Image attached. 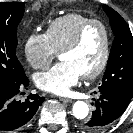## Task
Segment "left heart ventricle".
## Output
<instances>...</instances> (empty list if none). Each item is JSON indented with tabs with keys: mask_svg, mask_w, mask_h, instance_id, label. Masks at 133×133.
<instances>
[{
	"mask_svg": "<svg viewBox=\"0 0 133 133\" xmlns=\"http://www.w3.org/2000/svg\"><path fill=\"white\" fill-rule=\"evenodd\" d=\"M103 30L93 25L86 31L81 43L74 50L61 54L62 61L71 62L81 75L94 70L99 64L104 48Z\"/></svg>",
	"mask_w": 133,
	"mask_h": 133,
	"instance_id": "b2bd125f",
	"label": "left heart ventricle"
}]
</instances>
